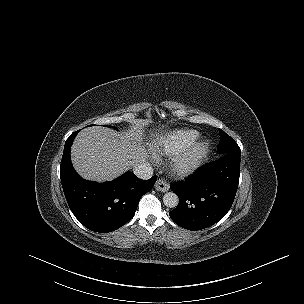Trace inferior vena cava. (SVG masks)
I'll use <instances>...</instances> for the list:
<instances>
[{"mask_svg":"<svg viewBox=\"0 0 304 304\" xmlns=\"http://www.w3.org/2000/svg\"><path fill=\"white\" fill-rule=\"evenodd\" d=\"M133 173L140 179L147 180L153 175V168L150 163L142 162L134 166Z\"/></svg>","mask_w":304,"mask_h":304,"instance_id":"602c4592","label":"inferior vena cava"}]
</instances>
